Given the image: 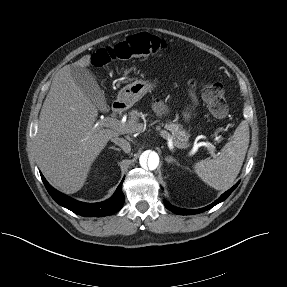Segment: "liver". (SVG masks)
<instances>
[{
    "label": "liver",
    "instance_id": "1",
    "mask_svg": "<svg viewBox=\"0 0 287 287\" xmlns=\"http://www.w3.org/2000/svg\"><path fill=\"white\" fill-rule=\"evenodd\" d=\"M91 55L66 65L55 75L43 103L35 148L39 167L51 185L64 193L79 191L90 168L115 129L94 128L98 110L71 76V66L87 67Z\"/></svg>",
    "mask_w": 287,
    "mask_h": 287
}]
</instances>
